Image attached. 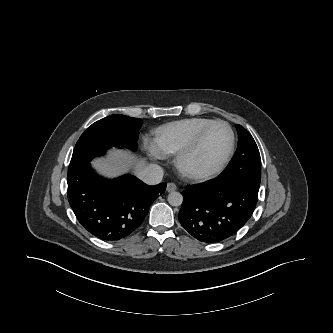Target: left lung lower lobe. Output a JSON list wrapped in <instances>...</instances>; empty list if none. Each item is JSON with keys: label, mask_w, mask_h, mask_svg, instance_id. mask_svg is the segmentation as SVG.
I'll return each instance as SVG.
<instances>
[{"label": "left lung lower lobe", "mask_w": 333, "mask_h": 333, "mask_svg": "<svg viewBox=\"0 0 333 333\" xmlns=\"http://www.w3.org/2000/svg\"><path fill=\"white\" fill-rule=\"evenodd\" d=\"M259 188L238 178L190 185L178 214L182 227L201 242L216 243L237 233L250 219Z\"/></svg>", "instance_id": "obj_1"}]
</instances>
